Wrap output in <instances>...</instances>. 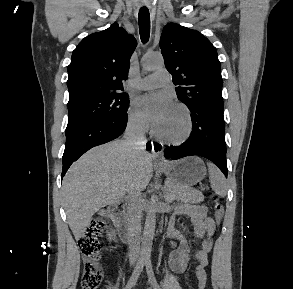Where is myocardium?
I'll use <instances>...</instances> for the list:
<instances>
[{
	"instance_id": "myocardium-1",
	"label": "myocardium",
	"mask_w": 293,
	"mask_h": 289,
	"mask_svg": "<svg viewBox=\"0 0 293 289\" xmlns=\"http://www.w3.org/2000/svg\"><path fill=\"white\" fill-rule=\"evenodd\" d=\"M174 107L180 109L185 116L186 127L184 132L178 137L171 138L160 134L158 130L154 128L152 134L157 140H159L162 143L178 146L186 143L190 139L193 133V118L190 109L185 104L175 103Z\"/></svg>"
}]
</instances>
